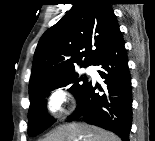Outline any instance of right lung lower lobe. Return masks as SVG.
I'll list each match as a JSON object with an SVG mask.
<instances>
[{"mask_svg": "<svg viewBox=\"0 0 155 141\" xmlns=\"http://www.w3.org/2000/svg\"><path fill=\"white\" fill-rule=\"evenodd\" d=\"M121 32L101 52L93 65L100 66L104 89L91 81L77 98V109L68 121L79 117L115 132L128 141L132 124V86L128 58ZM99 89L103 93H96Z\"/></svg>", "mask_w": 155, "mask_h": 141, "instance_id": "right-lung-lower-lobe-1", "label": "right lung lower lobe"}]
</instances>
